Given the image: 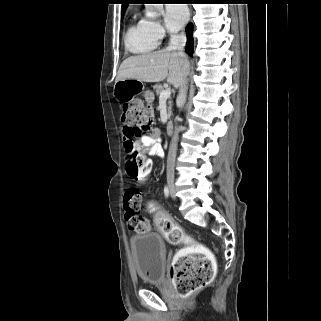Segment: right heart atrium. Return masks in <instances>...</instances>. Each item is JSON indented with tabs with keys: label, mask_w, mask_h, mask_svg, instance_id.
I'll use <instances>...</instances> for the list:
<instances>
[{
	"label": "right heart atrium",
	"mask_w": 321,
	"mask_h": 321,
	"mask_svg": "<svg viewBox=\"0 0 321 321\" xmlns=\"http://www.w3.org/2000/svg\"><path fill=\"white\" fill-rule=\"evenodd\" d=\"M146 25L151 32L158 40H161L165 37L166 31L163 25L156 20H146Z\"/></svg>",
	"instance_id": "d8ad5b80"
}]
</instances>
